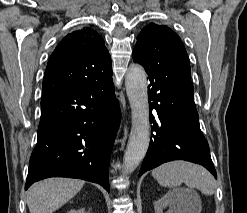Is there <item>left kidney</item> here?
I'll return each mask as SVG.
<instances>
[{"instance_id":"left-kidney-1","label":"left kidney","mask_w":247,"mask_h":213,"mask_svg":"<svg viewBox=\"0 0 247 213\" xmlns=\"http://www.w3.org/2000/svg\"><path fill=\"white\" fill-rule=\"evenodd\" d=\"M169 207L173 213H200L197 196L190 190H175L155 201V213H163Z\"/></svg>"}]
</instances>
